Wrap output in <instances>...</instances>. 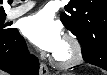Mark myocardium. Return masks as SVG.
<instances>
[{
    "label": "myocardium",
    "mask_w": 107,
    "mask_h": 75,
    "mask_svg": "<svg viewBox=\"0 0 107 75\" xmlns=\"http://www.w3.org/2000/svg\"><path fill=\"white\" fill-rule=\"evenodd\" d=\"M64 41L68 45L69 55L61 58L54 54L52 57L53 63L62 68L71 67L80 63L83 58V49L78 38L71 33H67L64 36Z\"/></svg>",
    "instance_id": "f54148a6"
}]
</instances>
